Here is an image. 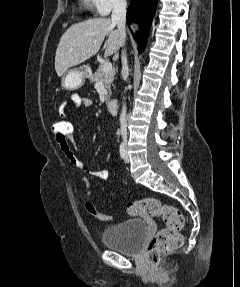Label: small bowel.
I'll return each instance as SVG.
<instances>
[{"label": "small bowel", "mask_w": 240, "mask_h": 287, "mask_svg": "<svg viewBox=\"0 0 240 287\" xmlns=\"http://www.w3.org/2000/svg\"><path fill=\"white\" fill-rule=\"evenodd\" d=\"M70 101L72 106L75 110L82 108V107H90L92 105V100L87 97H82L78 93L74 92L70 96ZM59 111L61 117H67V101H62L59 106ZM57 144L60 150L63 152L67 160L76 168L82 170L84 173L96 177L101 180H107L110 176V172L108 170H98L92 171L88 170L85 166L84 160L78 153L76 143H75V136H74V129H72L71 136L66 141H60L56 139Z\"/></svg>", "instance_id": "obj_1"}]
</instances>
